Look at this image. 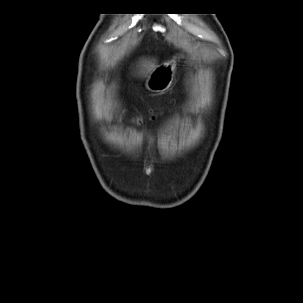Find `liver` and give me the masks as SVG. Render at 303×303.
Returning a JSON list of instances; mask_svg holds the SVG:
<instances>
[{
  "instance_id": "1",
  "label": "liver",
  "mask_w": 303,
  "mask_h": 303,
  "mask_svg": "<svg viewBox=\"0 0 303 303\" xmlns=\"http://www.w3.org/2000/svg\"><path fill=\"white\" fill-rule=\"evenodd\" d=\"M154 67L155 65H150V67H148V72L151 71Z\"/></svg>"
}]
</instances>
